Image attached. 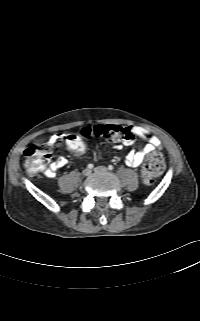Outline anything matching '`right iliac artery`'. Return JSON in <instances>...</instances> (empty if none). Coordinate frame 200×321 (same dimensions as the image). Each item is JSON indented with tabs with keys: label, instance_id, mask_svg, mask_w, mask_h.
Segmentation results:
<instances>
[{
	"label": "right iliac artery",
	"instance_id": "1",
	"mask_svg": "<svg viewBox=\"0 0 200 321\" xmlns=\"http://www.w3.org/2000/svg\"><path fill=\"white\" fill-rule=\"evenodd\" d=\"M89 169H92L93 167H94V165L93 164H88V166H87Z\"/></svg>",
	"mask_w": 200,
	"mask_h": 321
}]
</instances>
